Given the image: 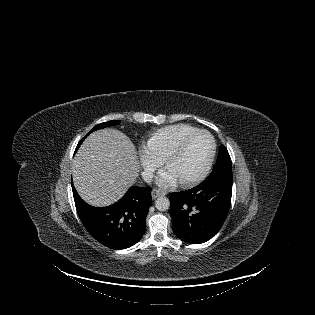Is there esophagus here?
I'll use <instances>...</instances> for the list:
<instances>
[{
    "label": "esophagus",
    "mask_w": 315,
    "mask_h": 315,
    "mask_svg": "<svg viewBox=\"0 0 315 315\" xmlns=\"http://www.w3.org/2000/svg\"><path fill=\"white\" fill-rule=\"evenodd\" d=\"M163 195H165V192L160 190V189H153L152 190V198L153 199H156V198L163 196Z\"/></svg>",
    "instance_id": "34e87169"
}]
</instances>
